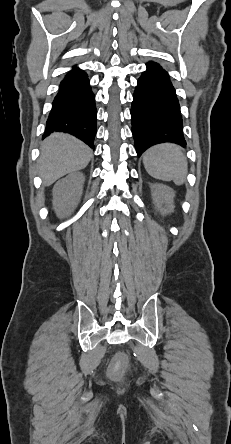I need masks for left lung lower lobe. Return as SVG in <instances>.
<instances>
[{"instance_id": "left-lung-lower-lobe-1", "label": "left lung lower lobe", "mask_w": 231, "mask_h": 444, "mask_svg": "<svg viewBox=\"0 0 231 444\" xmlns=\"http://www.w3.org/2000/svg\"><path fill=\"white\" fill-rule=\"evenodd\" d=\"M138 79L131 108L132 133L140 156L148 147L162 142L186 145L182 116L168 73L154 62Z\"/></svg>"}]
</instances>
